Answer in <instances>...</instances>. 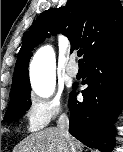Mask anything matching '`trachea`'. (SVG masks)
<instances>
[{
	"label": "trachea",
	"instance_id": "obj_1",
	"mask_svg": "<svg viewBox=\"0 0 123 152\" xmlns=\"http://www.w3.org/2000/svg\"><path fill=\"white\" fill-rule=\"evenodd\" d=\"M77 55H78V57H81V56L83 55V50H79V51L77 52ZM79 63H80V64H83L84 62H83L82 59H80V60H79Z\"/></svg>",
	"mask_w": 123,
	"mask_h": 152
}]
</instances>
